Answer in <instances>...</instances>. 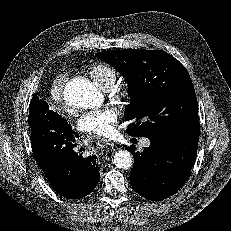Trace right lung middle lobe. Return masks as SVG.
Segmentation results:
<instances>
[{"label":"right lung middle lobe","instance_id":"right-lung-middle-lobe-1","mask_svg":"<svg viewBox=\"0 0 231 231\" xmlns=\"http://www.w3.org/2000/svg\"><path fill=\"white\" fill-rule=\"evenodd\" d=\"M42 102H43V100H41V99L31 100L30 107H29V118H28L29 125H32L33 122L35 121L36 107H37L38 104H41Z\"/></svg>","mask_w":231,"mask_h":231}]
</instances>
